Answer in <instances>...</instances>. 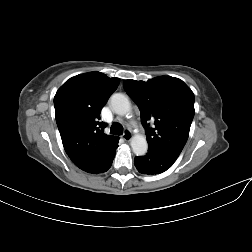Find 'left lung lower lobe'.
I'll use <instances>...</instances> for the list:
<instances>
[{"mask_svg": "<svg viewBox=\"0 0 252 252\" xmlns=\"http://www.w3.org/2000/svg\"><path fill=\"white\" fill-rule=\"evenodd\" d=\"M177 158L178 156L167 150L148 146V153L142 157H135L134 164L140 173L154 175L168 170Z\"/></svg>", "mask_w": 252, "mask_h": 252, "instance_id": "1", "label": "left lung lower lobe"}]
</instances>
